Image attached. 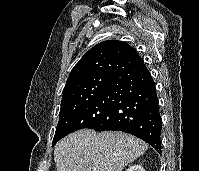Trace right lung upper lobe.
<instances>
[{"mask_svg": "<svg viewBox=\"0 0 199 171\" xmlns=\"http://www.w3.org/2000/svg\"><path fill=\"white\" fill-rule=\"evenodd\" d=\"M143 62L137 51L123 41L101 42L84 54L72 69L63 92L100 74L117 75L121 71Z\"/></svg>", "mask_w": 199, "mask_h": 171, "instance_id": "right-lung-upper-lobe-1", "label": "right lung upper lobe"}]
</instances>
